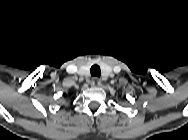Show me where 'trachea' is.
<instances>
[{
	"mask_svg": "<svg viewBox=\"0 0 188 140\" xmlns=\"http://www.w3.org/2000/svg\"><path fill=\"white\" fill-rule=\"evenodd\" d=\"M90 73L92 76L100 77L101 75L100 67L98 65H93L90 69Z\"/></svg>",
	"mask_w": 188,
	"mask_h": 140,
	"instance_id": "1",
	"label": "trachea"
}]
</instances>
